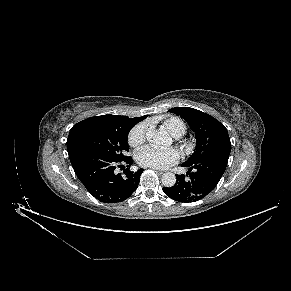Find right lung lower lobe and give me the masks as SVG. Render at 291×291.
<instances>
[{
	"mask_svg": "<svg viewBox=\"0 0 291 291\" xmlns=\"http://www.w3.org/2000/svg\"><path fill=\"white\" fill-rule=\"evenodd\" d=\"M75 174L89 191L101 202L118 203L129 198L137 189L144 169L132 172L127 168L116 174V167L132 165L131 157L116 159L106 153L78 147L68 152Z\"/></svg>",
	"mask_w": 291,
	"mask_h": 291,
	"instance_id": "98d812e1",
	"label": "right lung lower lobe"
}]
</instances>
